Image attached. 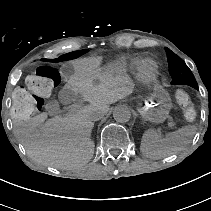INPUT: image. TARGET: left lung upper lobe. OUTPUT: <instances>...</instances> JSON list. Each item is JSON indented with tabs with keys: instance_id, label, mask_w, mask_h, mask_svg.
Wrapping results in <instances>:
<instances>
[{
	"instance_id": "left-lung-upper-lobe-1",
	"label": "left lung upper lobe",
	"mask_w": 211,
	"mask_h": 211,
	"mask_svg": "<svg viewBox=\"0 0 211 211\" xmlns=\"http://www.w3.org/2000/svg\"><path fill=\"white\" fill-rule=\"evenodd\" d=\"M165 50L168 58L169 73L172 77L171 84L188 85L198 90L195 77L185 62L170 49L165 48Z\"/></svg>"
}]
</instances>
